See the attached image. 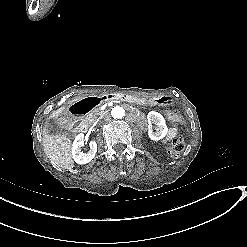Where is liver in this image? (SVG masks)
Returning a JSON list of instances; mask_svg holds the SVG:
<instances>
[{
    "label": "liver",
    "mask_w": 247,
    "mask_h": 247,
    "mask_svg": "<svg viewBox=\"0 0 247 247\" xmlns=\"http://www.w3.org/2000/svg\"><path fill=\"white\" fill-rule=\"evenodd\" d=\"M80 99L81 97H76L68 101V104H72ZM65 109V107H60L53 111L46 120L42 131L44 153L50 159L52 166L57 170H72L74 167V161L71 153V140L64 134H49V130L47 128L48 120L58 118L65 111Z\"/></svg>",
    "instance_id": "6515ba94"
}]
</instances>
